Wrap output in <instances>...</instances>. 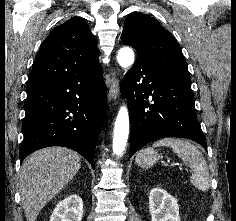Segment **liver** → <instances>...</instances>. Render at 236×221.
<instances>
[{
    "label": "liver",
    "instance_id": "1",
    "mask_svg": "<svg viewBox=\"0 0 236 221\" xmlns=\"http://www.w3.org/2000/svg\"><path fill=\"white\" fill-rule=\"evenodd\" d=\"M81 168L80 156L64 147H48L27 157L21 167L20 195L27 221L58 194Z\"/></svg>",
    "mask_w": 236,
    "mask_h": 221
}]
</instances>
